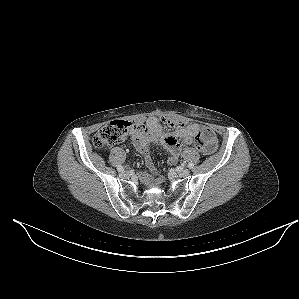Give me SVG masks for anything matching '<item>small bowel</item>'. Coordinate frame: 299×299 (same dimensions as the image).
I'll use <instances>...</instances> for the list:
<instances>
[{
	"label": "small bowel",
	"instance_id": "obj_1",
	"mask_svg": "<svg viewBox=\"0 0 299 299\" xmlns=\"http://www.w3.org/2000/svg\"><path fill=\"white\" fill-rule=\"evenodd\" d=\"M199 133L203 134L205 142L210 147V152L213 151L217 145V138L214 132L195 122L180 125L175 127L172 132H166L159 118L150 117L143 124L142 129L133 131L131 138L133 146L143 156L146 166L155 172V163L148 153L149 145H163L170 153L169 162L175 163L179 158L182 147L191 145ZM160 182V179L156 180L157 184Z\"/></svg>",
	"mask_w": 299,
	"mask_h": 299
}]
</instances>
